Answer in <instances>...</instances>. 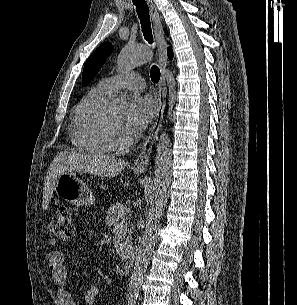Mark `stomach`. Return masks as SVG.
<instances>
[{
	"instance_id": "obj_1",
	"label": "stomach",
	"mask_w": 297,
	"mask_h": 305,
	"mask_svg": "<svg viewBox=\"0 0 297 305\" xmlns=\"http://www.w3.org/2000/svg\"><path fill=\"white\" fill-rule=\"evenodd\" d=\"M137 173L139 171H136ZM54 192L58 197L76 206H90L95 198L87 184L78 177V172L65 171L54 183Z\"/></svg>"
}]
</instances>
